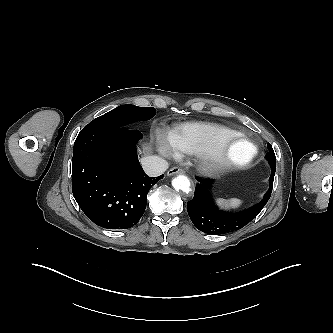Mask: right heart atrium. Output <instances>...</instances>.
Here are the masks:
<instances>
[{
	"instance_id": "right-heart-atrium-1",
	"label": "right heart atrium",
	"mask_w": 333,
	"mask_h": 333,
	"mask_svg": "<svg viewBox=\"0 0 333 333\" xmlns=\"http://www.w3.org/2000/svg\"><path fill=\"white\" fill-rule=\"evenodd\" d=\"M157 145L159 152L167 158H172L178 152L172 144L169 136L158 134Z\"/></svg>"
}]
</instances>
